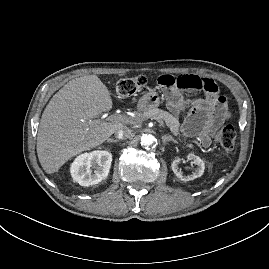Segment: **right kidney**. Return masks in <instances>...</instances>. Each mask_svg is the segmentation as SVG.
<instances>
[{
    "label": "right kidney",
    "mask_w": 269,
    "mask_h": 269,
    "mask_svg": "<svg viewBox=\"0 0 269 269\" xmlns=\"http://www.w3.org/2000/svg\"><path fill=\"white\" fill-rule=\"evenodd\" d=\"M111 162L112 154L109 151L81 154L71 165V176L81 186L98 184L108 176Z\"/></svg>",
    "instance_id": "1"
}]
</instances>
